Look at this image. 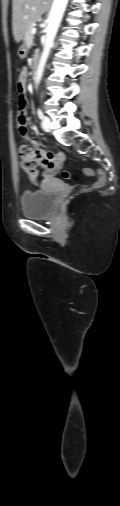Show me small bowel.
<instances>
[{"instance_id":"c3829d8e","label":"small bowel","mask_w":120,"mask_h":506,"mask_svg":"<svg viewBox=\"0 0 120 506\" xmlns=\"http://www.w3.org/2000/svg\"><path fill=\"white\" fill-rule=\"evenodd\" d=\"M24 72V77H20L21 81H24L26 78V70H22ZM25 135V134H24ZM36 144V142H34ZM38 151L41 153V157L39 159V165L45 169V177L49 178L54 175V173L61 167L63 161H64V154L63 153H57L55 156H53L51 153L38 149Z\"/></svg>"}]
</instances>
